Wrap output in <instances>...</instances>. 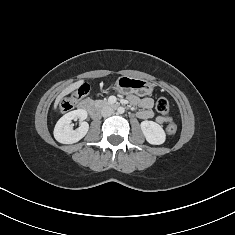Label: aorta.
I'll return each mask as SVG.
<instances>
[{"label":"aorta","mask_w":235,"mask_h":235,"mask_svg":"<svg viewBox=\"0 0 235 235\" xmlns=\"http://www.w3.org/2000/svg\"><path fill=\"white\" fill-rule=\"evenodd\" d=\"M117 112H118L119 114H123V113L125 112V109H124L123 107H119V108L117 109Z\"/></svg>","instance_id":"obj_1"}]
</instances>
